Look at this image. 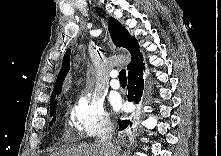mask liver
Masks as SVG:
<instances>
[{
	"label": "liver",
	"instance_id": "obj_1",
	"mask_svg": "<svg viewBox=\"0 0 221 156\" xmlns=\"http://www.w3.org/2000/svg\"><path fill=\"white\" fill-rule=\"evenodd\" d=\"M120 148H116L114 153L107 152L104 148L99 146L97 143L94 144H80L73 147H68L60 151H55L51 156H117ZM110 154V155H109Z\"/></svg>",
	"mask_w": 221,
	"mask_h": 156
}]
</instances>
